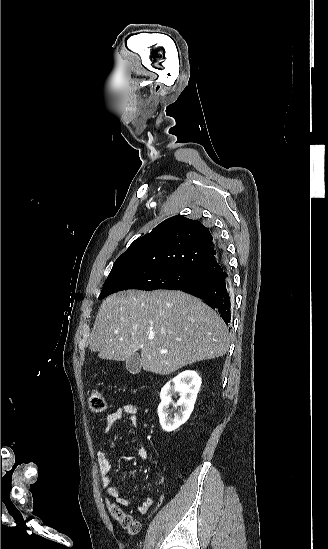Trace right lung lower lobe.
Here are the masks:
<instances>
[{
  "label": "right lung lower lobe",
  "instance_id": "obj_1",
  "mask_svg": "<svg viewBox=\"0 0 328 549\" xmlns=\"http://www.w3.org/2000/svg\"><path fill=\"white\" fill-rule=\"evenodd\" d=\"M216 243L219 244L218 251L221 255L223 254L224 260V250L220 246L217 238ZM229 288L230 276L227 272L225 264L223 263V270L216 276L207 277L199 282L181 287L178 290L190 293L203 299L206 304L220 314L226 325H228L231 319V296L229 293Z\"/></svg>",
  "mask_w": 328,
  "mask_h": 549
}]
</instances>
